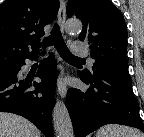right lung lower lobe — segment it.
<instances>
[{
	"label": "right lung lower lobe",
	"mask_w": 144,
	"mask_h": 137,
	"mask_svg": "<svg viewBox=\"0 0 144 137\" xmlns=\"http://www.w3.org/2000/svg\"><path fill=\"white\" fill-rule=\"evenodd\" d=\"M35 59L36 54L28 57ZM18 63L12 72L0 74V112H11L30 120L46 136L52 137L51 114L55 104L57 63L51 53L33 75L25 76ZM37 76L38 83L33 80Z\"/></svg>",
	"instance_id": "1"
}]
</instances>
